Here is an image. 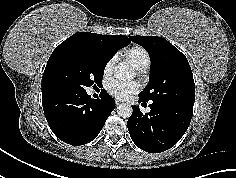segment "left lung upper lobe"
I'll use <instances>...</instances> for the list:
<instances>
[{"instance_id": "5c2ea615", "label": "left lung upper lobe", "mask_w": 236, "mask_h": 178, "mask_svg": "<svg viewBox=\"0 0 236 178\" xmlns=\"http://www.w3.org/2000/svg\"><path fill=\"white\" fill-rule=\"evenodd\" d=\"M150 55L149 84L139 94L141 100L193 107L195 84L185 55L166 39L157 36H129Z\"/></svg>"}]
</instances>
